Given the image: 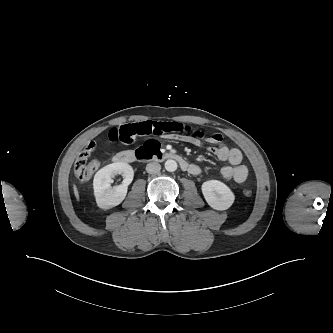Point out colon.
<instances>
[{
	"mask_svg": "<svg viewBox=\"0 0 333 333\" xmlns=\"http://www.w3.org/2000/svg\"><path fill=\"white\" fill-rule=\"evenodd\" d=\"M94 148V144H90L75 161L74 174L80 182L89 181L100 167V163L97 160H89ZM244 195L250 197L252 195V191L245 189Z\"/></svg>",
	"mask_w": 333,
	"mask_h": 333,
	"instance_id": "5ec220e1",
	"label": "colon"
}]
</instances>
